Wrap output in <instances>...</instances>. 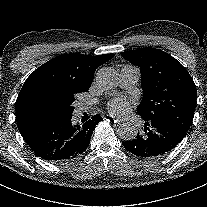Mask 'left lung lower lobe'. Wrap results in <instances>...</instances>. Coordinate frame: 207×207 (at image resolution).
Segmentation results:
<instances>
[{"instance_id":"1","label":"left lung lower lobe","mask_w":207,"mask_h":207,"mask_svg":"<svg viewBox=\"0 0 207 207\" xmlns=\"http://www.w3.org/2000/svg\"><path fill=\"white\" fill-rule=\"evenodd\" d=\"M144 132L143 135L138 133L136 138L131 141L122 142L129 152L144 158H152L168 153L185 136L174 126L161 122L145 121Z\"/></svg>"}]
</instances>
